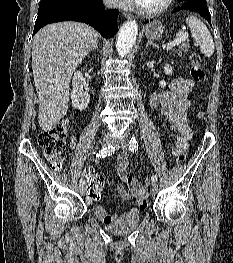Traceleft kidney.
<instances>
[{"instance_id":"left-kidney-1","label":"left kidney","mask_w":233,"mask_h":263,"mask_svg":"<svg viewBox=\"0 0 233 263\" xmlns=\"http://www.w3.org/2000/svg\"><path fill=\"white\" fill-rule=\"evenodd\" d=\"M164 72H165L166 75H171L172 72H173L172 66L169 65V64H166V65L164 66ZM159 86H160L161 88H164V87L166 86V82L163 81V80L160 81V82H159Z\"/></svg>"}]
</instances>
